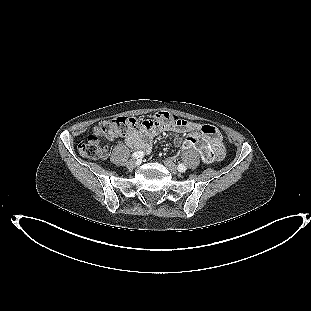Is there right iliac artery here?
<instances>
[{"label": "right iliac artery", "mask_w": 311, "mask_h": 311, "mask_svg": "<svg viewBox=\"0 0 311 311\" xmlns=\"http://www.w3.org/2000/svg\"><path fill=\"white\" fill-rule=\"evenodd\" d=\"M143 156H144V153L141 152V151H137V152H135V153L132 154V157H133L134 159L142 158Z\"/></svg>", "instance_id": "1"}]
</instances>
